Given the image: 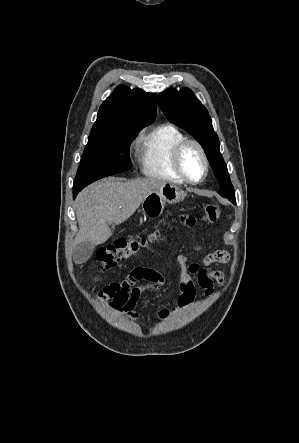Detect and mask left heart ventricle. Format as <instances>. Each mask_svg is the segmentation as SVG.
Here are the masks:
<instances>
[{"instance_id":"b2bd125f","label":"left heart ventricle","mask_w":299,"mask_h":443,"mask_svg":"<svg viewBox=\"0 0 299 443\" xmlns=\"http://www.w3.org/2000/svg\"><path fill=\"white\" fill-rule=\"evenodd\" d=\"M182 165L187 175L193 179H199L203 173V161L194 146H189L182 156Z\"/></svg>"}]
</instances>
